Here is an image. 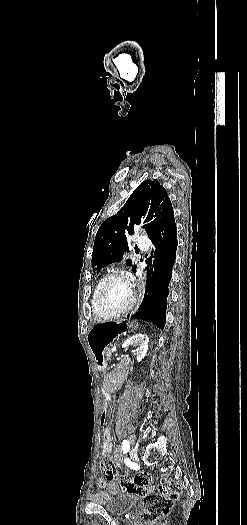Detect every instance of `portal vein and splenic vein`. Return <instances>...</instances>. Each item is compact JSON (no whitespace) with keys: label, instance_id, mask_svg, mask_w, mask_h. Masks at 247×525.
I'll return each mask as SVG.
<instances>
[{"label":"portal vein and splenic vein","instance_id":"18ae733b","mask_svg":"<svg viewBox=\"0 0 247 525\" xmlns=\"http://www.w3.org/2000/svg\"><path fill=\"white\" fill-rule=\"evenodd\" d=\"M115 347H112V350H110V353H114Z\"/></svg>","mask_w":247,"mask_h":525}]
</instances>
